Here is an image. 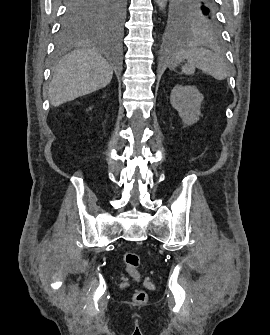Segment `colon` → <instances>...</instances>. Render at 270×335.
Here are the masks:
<instances>
[{"instance_id":"obj_1","label":"colon","mask_w":270,"mask_h":335,"mask_svg":"<svg viewBox=\"0 0 270 335\" xmlns=\"http://www.w3.org/2000/svg\"><path fill=\"white\" fill-rule=\"evenodd\" d=\"M122 260L129 273L138 271L141 266L140 254L132 250L126 251L123 254ZM133 297L136 301L143 302L148 299V294L146 290L138 288L134 291Z\"/></svg>"}]
</instances>
